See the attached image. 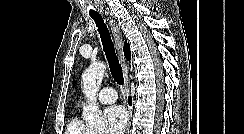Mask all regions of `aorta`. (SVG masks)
<instances>
[{"instance_id":"aorta-1","label":"aorta","mask_w":244,"mask_h":134,"mask_svg":"<svg viewBox=\"0 0 244 134\" xmlns=\"http://www.w3.org/2000/svg\"><path fill=\"white\" fill-rule=\"evenodd\" d=\"M106 65L103 62H96L89 66L82 74L83 92L87 97L88 103L83 108V117L90 128H105L101 110L96 102V94L102 82Z\"/></svg>"}]
</instances>
